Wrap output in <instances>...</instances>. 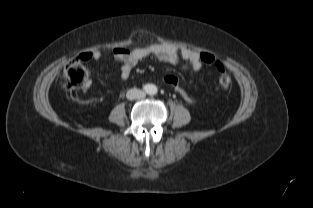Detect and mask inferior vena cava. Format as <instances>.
<instances>
[{"label": "inferior vena cava", "instance_id": "inferior-vena-cava-1", "mask_svg": "<svg viewBox=\"0 0 313 208\" xmlns=\"http://www.w3.org/2000/svg\"><path fill=\"white\" fill-rule=\"evenodd\" d=\"M126 97L130 100L141 99L145 97V93L142 90L134 88L127 91Z\"/></svg>", "mask_w": 313, "mask_h": 208}]
</instances>
